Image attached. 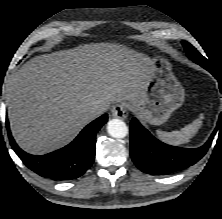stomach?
Wrapping results in <instances>:
<instances>
[{"instance_id": "obj_1", "label": "stomach", "mask_w": 222, "mask_h": 219, "mask_svg": "<svg viewBox=\"0 0 222 219\" xmlns=\"http://www.w3.org/2000/svg\"><path fill=\"white\" fill-rule=\"evenodd\" d=\"M151 61L152 73L144 93L136 102H128V107L143 121L161 125L183 104L185 92L166 58L154 55Z\"/></svg>"}]
</instances>
